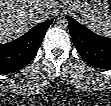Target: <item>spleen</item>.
Listing matches in <instances>:
<instances>
[{
  "label": "spleen",
  "instance_id": "obj_1",
  "mask_svg": "<svg viewBox=\"0 0 111 106\" xmlns=\"http://www.w3.org/2000/svg\"><path fill=\"white\" fill-rule=\"evenodd\" d=\"M88 26L98 35L111 37V15H106L104 18L95 17Z\"/></svg>",
  "mask_w": 111,
  "mask_h": 106
}]
</instances>
